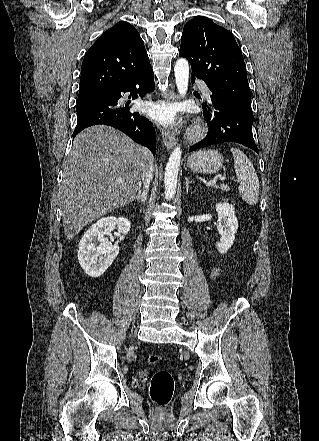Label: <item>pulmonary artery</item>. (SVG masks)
I'll return each instance as SVG.
<instances>
[{
	"label": "pulmonary artery",
	"mask_w": 319,
	"mask_h": 441,
	"mask_svg": "<svg viewBox=\"0 0 319 441\" xmlns=\"http://www.w3.org/2000/svg\"><path fill=\"white\" fill-rule=\"evenodd\" d=\"M197 83L200 86L203 95L205 97H209L210 94H211V91H210L209 87L203 81L199 80V81H197Z\"/></svg>",
	"instance_id": "pulmonary-artery-1"
}]
</instances>
